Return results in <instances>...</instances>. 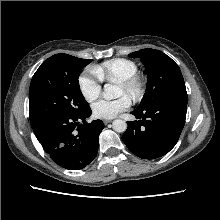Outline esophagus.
Segmentation results:
<instances>
[{
    "mask_svg": "<svg viewBox=\"0 0 220 220\" xmlns=\"http://www.w3.org/2000/svg\"><path fill=\"white\" fill-rule=\"evenodd\" d=\"M104 124L107 125L108 123L111 122V120H103Z\"/></svg>",
    "mask_w": 220,
    "mask_h": 220,
    "instance_id": "esophagus-1",
    "label": "esophagus"
}]
</instances>
